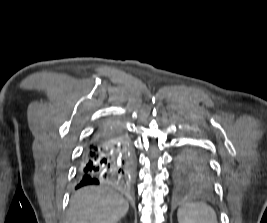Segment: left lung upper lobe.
Masks as SVG:
<instances>
[{"label":"left lung upper lobe","instance_id":"5c2ea615","mask_svg":"<svg viewBox=\"0 0 267 223\" xmlns=\"http://www.w3.org/2000/svg\"><path fill=\"white\" fill-rule=\"evenodd\" d=\"M177 171H208L206 160L199 154L186 151L179 158Z\"/></svg>","mask_w":267,"mask_h":223}]
</instances>
